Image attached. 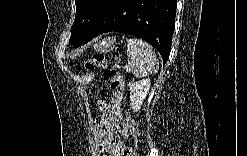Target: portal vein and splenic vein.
<instances>
[{
  "mask_svg": "<svg viewBox=\"0 0 247 156\" xmlns=\"http://www.w3.org/2000/svg\"><path fill=\"white\" fill-rule=\"evenodd\" d=\"M125 68H126V70H128V69H129V67H128V66H126Z\"/></svg>",
  "mask_w": 247,
  "mask_h": 156,
  "instance_id": "18ae733b",
  "label": "portal vein and splenic vein"
}]
</instances>
